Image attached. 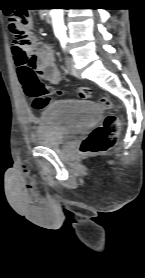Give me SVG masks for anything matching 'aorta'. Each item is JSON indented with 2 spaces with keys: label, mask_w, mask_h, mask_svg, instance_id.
<instances>
[{
  "label": "aorta",
  "mask_w": 145,
  "mask_h": 278,
  "mask_svg": "<svg viewBox=\"0 0 145 278\" xmlns=\"http://www.w3.org/2000/svg\"><path fill=\"white\" fill-rule=\"evenodd\" d=\"M52 22L55 35L57 37L65 36L63 9H52Z\"/></svg>",
  "instance_id": "1"
}]
</instances>
